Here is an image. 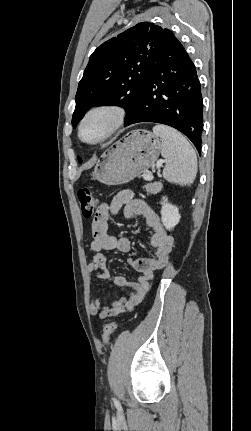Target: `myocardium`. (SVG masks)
I'll list each match as a JSON object with an SVG mask.
<instances>
[{"mask_svg":"<svg viewBox=\"0 0 251 431\" xmlns=\"http://www.w3.org/2000/svg\"><path fill=\"white\" fill-rule=\"evenodd\" d=\"M98 113H107L109 114L111 120L106 132L98 139L94 141H88L84 139L82 135V130L86 121L93 115ZM126 120V112L125 110L115 104L103 103L96 106L91 107L89 110L85 112L83 117L81 118L78 125V137L79 139L89 145H97L100 144L107 139H109L112 135H114L124 124Z\"/></svg>","mask_w":251,"mask_h":431,"instance_id":"1","label":"myocardium"}]
</instances>
